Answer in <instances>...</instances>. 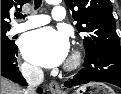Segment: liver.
I'll list each match as a JSON object with an SVG mask.
<instances>
[{"label":"liver","instance_id":"liver-1","mask_svg":"<svg viewBox=\"0 0 121 94\" xmlns=\"http://www.w3.org/2000/svg\"><path fill=\"white\" fill-rule=\"evenodd\" d=\"M1 94H23V91L17 84L1 77Z\"/></svg>","mask_w":121,"mask_h":94}]
</instances>
